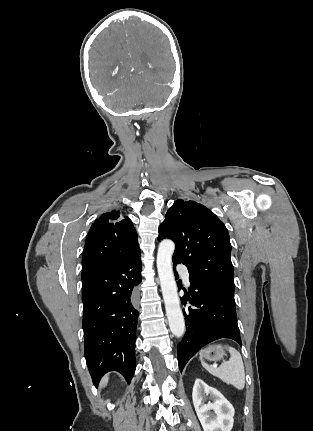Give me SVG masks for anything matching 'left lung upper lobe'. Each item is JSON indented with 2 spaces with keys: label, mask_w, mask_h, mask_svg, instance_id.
Listing matches in <instances>:
<instances>
[{
  "label": "left lung upper lobe",
  "mask_w": 313,
  "mask_h": 431,
  "mask_svg": "<svg viewBox=\"0 0 313 431\" xmlns=\"http://www.w3.org/2000/svg\"><path fill=\"white\" fill-rule=\"evenodd\" d=\"M170 238L173 262L187 266L189 280L234 293L231 244L224 223L195 201L179 199L168 209L158 240Z\"/></svg>",
  "instance_id": "5c2ea615"
}]
</instances>
